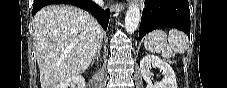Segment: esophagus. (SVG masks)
Wrapping results in <instances>:
<instances>
[{
    "label": "esophagus",
    "instance_id": "34e87169",
    "mask_svg": "<svg viewBox=\"0 0 227 88\" xmlns=\"http://www.w3.org/2000/svg\"><path fill=\"white\" fill-rule=\"evenodd\" d=\"M125 8V3L124 2H117L111 5V10L113 12H117V11H123Z\"/></svg>",
    "mask_w": 227,
    "mask_h": 88
}]
</instances>
